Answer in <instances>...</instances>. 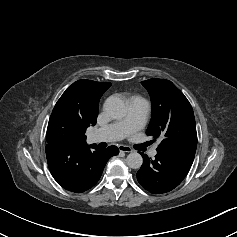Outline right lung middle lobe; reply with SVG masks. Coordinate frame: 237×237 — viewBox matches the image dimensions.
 I'll list each match as a JSON object with an SVG mask.
<instances>
[{"instance_id": "obj_1", "label": "right lung middle lobe", "mask_w": 237, "mask_h": 237, "mask_svg": "<svg viewBox=\"0 0 237 237\" xmlns=\"http://www.w3.org/2000/svg\"><path fill=\"white\" fill-rule=\"evenodd\" d=\"M83 135L80 125L64 110L54 108L49 119L47 143L77 144Z\"/></svg>"}]
</instances>
